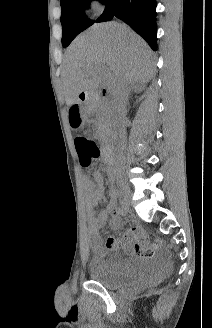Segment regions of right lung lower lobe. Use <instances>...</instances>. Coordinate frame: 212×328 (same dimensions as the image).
<instances>
[{
  "instance_id": "1",
  "label": "right lung lower lobe",
  "mask_w": 212,
  "mask_h": 328,
  "mask_svg": "<svg viewBox=\"0 0 212 328\" xmlns=\"http://www.w3.org/2000/svg\"><path fill=\"white\" fill-rule=\"evenodd\" d=\"M103 14L96 22L110 21L114 16L141 35L153 50L156 44V0H104Z\"/></svg>"
}]
</instances>
